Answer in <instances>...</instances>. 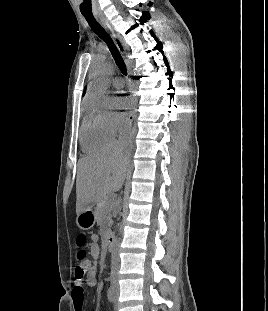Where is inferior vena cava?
<instances>
[{"mask_svg": "<svg viewBox=\"0 0 268 311\" xmlns=\"http://www.w3.org/2000/svg\"><path fill=\"white\" fill-rule=\"evenodd\" d=\"M119 146L122 148V149H125L126 148V145L123 144V142H120L119 143ZM118 244V242H117ZM111 265H112V271H111V277L113 280L116 279L117 277V269H118V265H119V257H118V253H117V248H115L112 252V261H111Z\"/></svg>", "mask_w": 268, "mask_h": 311, "instance_id": "inferior-vena-cava-1", "label": "inferior vena cava"}]
</instances>
